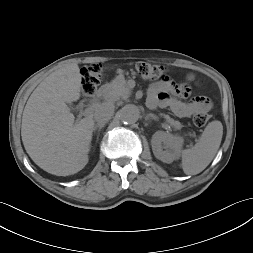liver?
<instances>
[{
    "mask_svg": "<svg viewBox=\"0 0 253 253\" xmlns=\"http://www.w3.org/2000/svg\"><path fill=\"white\" fill-rule=\"evenodd\" d=\"M82 76L76 63L52 72L30 95L21 136L30 158L44 171L68 176L82 170L94 128L93 114L75 121L68 103L80 98Z\"/></svg>",
    "mask_w": 253,
    "mask_h": 253,
    "instance_id": "obj_1",
    "label": "liver"
}]
</instances>
